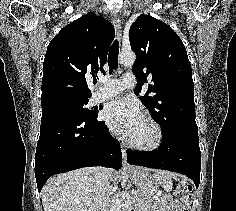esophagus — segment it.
<instances>
[{"label":"esophagus","instance_id":"obj_1","mask_svg":"<svg viewBox=\"0 0 236 211\" xmlns=\"http://www.w3.org/2000/svg\"><path fill=\"white\" fill-rule=\"evenodd\" d=\"M112 23L115 27L116 33H117V38L119 41L122 39V26H121V21L116 13H112ZM122 151V159H123V167L126 168L128 167L127 163V152L124 147H121Z\"/></svg>","mask_w":236,"mask_h":211}]
</instances>
